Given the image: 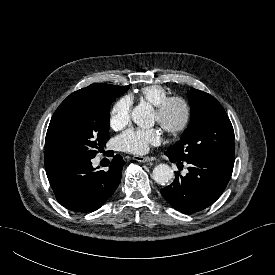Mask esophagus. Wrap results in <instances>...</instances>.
I'll return each instance as SVG.
<instances>
[{
	"label": "esophagus",
	"instance_id": "1",
	"mask_svg": "<svg viewBox=\"0 0 275 275\" xmlns=\"http://www.w3.org/2000/svg\"><path fill=\"white\" fill-rule=\"evenodd\" d=\"M133 158H134V160H136L138 162H142V163L155 160V158L143 157V156H134Z\"/></svg>",
	"mask_w": 275,
	"mask_h": 275
}]
</instances>
